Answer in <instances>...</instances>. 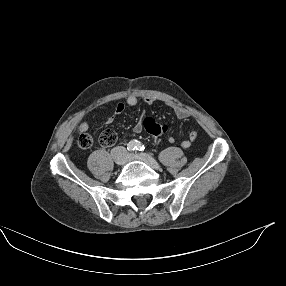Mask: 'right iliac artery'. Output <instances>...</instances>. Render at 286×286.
Returning a JSON list of instances; mask_svg holds the SVG:
<instances>
[{
    "mask_svg": "<svg viewBox=\"0 0 286 286\" xmlns=\"http://www.w3.org/2000/svg\"><path fill=\"white\" fill-rule=\"evenodd\" d=\"M127 149H128L129 151H134V150H135V144H134V142H130V143L128 144V146H127Z\"/></svg>",
    "mask_w": 286,
    "mask_h": 286,
    "instance_id": "obj_1",
    "label": "right iliac artery"
}]
</instances>
